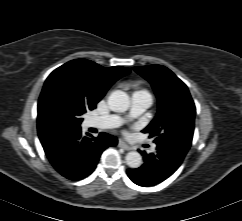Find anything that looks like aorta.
I'll return each mask as SVG.
<instances>
[{
	"instance_id": "aorta-1",
	"label": "aorta",
	"mask_w": 242,
	"mask_h": 221,
	"mask_svg": "<svg viewBox=\"0 0 242 221\" xmlns=\"http://www.w3.org/2000/svg\"><path fill=\"white\" fill-rule=\"evenodd\" d=\"M108 106L114 112H125L130 106L129 97L125 92L116 90L108 97ZM125 162L130 168H138L142 164V157L137 151H131L127 153Z\"/></svg>"
}]
</instances>
